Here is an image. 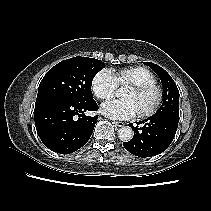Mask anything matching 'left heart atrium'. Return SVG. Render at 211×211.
Returning <instances> with one entry per match:
<instances>
[{"instance_id":"1","label":"left heart atrium","mask_w":211,"mask_h":211,"mask_svg":"<svg viewBox=\"0 0 211 211\" xmlns=\"http://www.w3.org/2000/svg\"><path fill=\"white\" fill-rule=\"evenodd\" d=\"M101 111L106 116L125 120L130 119L139 113L137 105L130 99H116L104 103Z\"/></svg>"}]
</instances>
